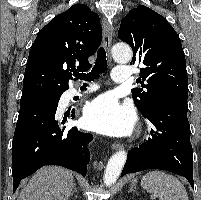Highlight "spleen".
I'll return each mask as SVG.
<instances>
[{"mask_svg": "<svg viewBox=\"0 0 201 200\" xmlns=\"http://www.w3.org/2000/svg\"><path fill=\"white\" fill-rule=\"evenodd\" d=\"M142 187L159 200H189L184 185L173 175L150 171L141 181Z\"/></svg>", "mask_w": 201, "mask_h": 200, "instance_id": "obj_1", "label": "spleen"}]
</instances>
